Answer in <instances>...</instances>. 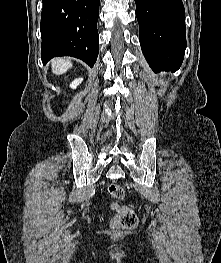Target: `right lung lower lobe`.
I'll use <instances>...</instances> for the list:
<instances>
[{
	"instance_id": "1",
	"label": "right lung lower lobe",
	"mask_w": 221,
	"mask_h": 263,
	"mask_svg": "<svg viewBox=\"0 0 221 263\" xmlns=\"http://www.w3.org/2000/svg\"><path fill=\"white\" fill-rule=\"evenodd\" d=\"M41 59L72 56L92 67L98 56L100 0H42Z\"/></svg>"
}]
</instances>
